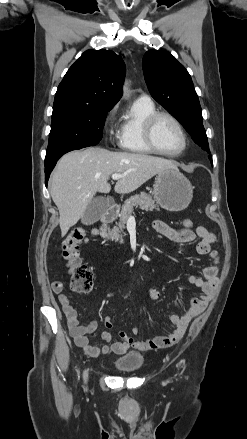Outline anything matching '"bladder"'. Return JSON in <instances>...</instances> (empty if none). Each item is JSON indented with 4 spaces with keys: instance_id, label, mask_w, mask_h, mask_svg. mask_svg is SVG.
<instances>
[{
    "instance_id": "31cf9c89",
    "label": "bladder",
    "mask_w": 247,
    "mask_h": 439,
    "mask_svg": "<svg viewBox=\"0 0 247 439\" xmlns=\"http://www.w3.org/2000/svg\"><path fill=\"white\" fill-rule=\"evenodd\" d=\"M143 355L137 351H130L113 361V366L125 373H133L138 371L143 365Z\"/></svg>"
}]
</instances>
